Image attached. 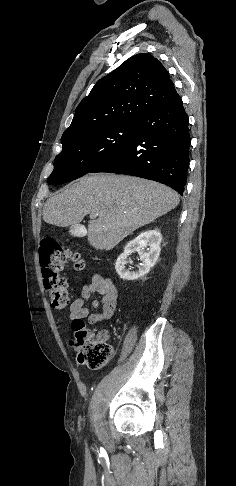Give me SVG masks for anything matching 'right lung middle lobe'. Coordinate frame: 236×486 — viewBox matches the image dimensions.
<instances>
[{
	"label": "right lung middle lobe",
	"mask_w": 236,
	"mask_h": 486,
	"mask_svg": "<svg viewBox=\"0 0 236 486\" xmlns=\"http://www.w3.org/2000/svg\"><path fill=\"white\" fill-rule=\"evenodd\" d=\"M136 123L87 131L62 141V152L54 160L49 184L78 179L110 158L133 140Z\"/></svg>",
	"instance_id": "1"
}]
</instances>
